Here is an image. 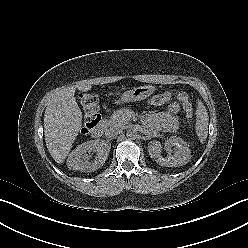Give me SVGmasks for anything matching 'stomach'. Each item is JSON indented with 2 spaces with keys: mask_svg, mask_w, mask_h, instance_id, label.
<instances>
[{
  "mask_svg": "<svg viewBox=\"0 0 248 248\" xmlns=\"http://www.w3.org/2000/svg\"><path fill=\"white\" fill-rule=\"evenodd\" d=\"M155 91V87L152 85H144L128 90L122 94V96L115 101L116 104L128 103L133 101H141L149 97Z\"/></svg>",
  "mask_w": 248,
  "mask_h": 248,
  "instance_id": "0dacf381",
  "label": "stomach"
}]
</instances>
